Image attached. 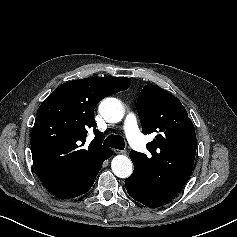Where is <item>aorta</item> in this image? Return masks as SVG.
I'll return each instance as SVG.
<instances>
[{
	"instance_id": "obj_1",
	"label": "aorta",
	"mask_w": 237,
	"mask_h": 237,
	"mask_svg": "<svg viewBox=\"0 0 237 237\" xmlns=\"http://www.w3.org/2000/svg\"><path fill=\"white\" fill-rule=\"evenodd\" d=\"M99 112L110 123H117L124 116V109L121 102L112 97L105 98L101 101ZM111 168L113 173L119 178H128L133 172L132 162L125 155L115 156L111 162Z\"/></svg>"
}]
</instances>
